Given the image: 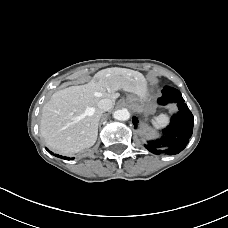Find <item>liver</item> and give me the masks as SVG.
I'll list each match as a JSON object with an SVG mask.
<instances>
[{"mask_svg":"<svg viewBox=\"0 0 228 228\" xmlns=\"http://www.w3.org/2000/svg\"><path fill=\"white\" fill-rule=\"evenodd\" d=\"M119 90L144 97L146 79L138 71L113 67L99 71L87 84L55 92L42 109L40 132L45 143L65 155L93 146L103 113L98 102L108 98L113 106Z\"/></svg>","mask_w":228,"mask_h":228,"instance_id":"liver-1","label":"liver"}]
</instances>
